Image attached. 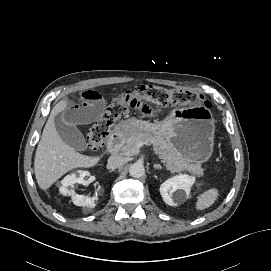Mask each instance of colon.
<instances>
[{
  "instance_id": "colon-1",
  "label": "colon",
  "mask_w": 271,
  "mask_h": 271,
  "mask_svg": "<svg viewBox=\"0 0 271 271\" xmlns=\"http://www.w3.org/2000/svg\"><path fill=\"white\" fill-rule=\"evenodd\" d=\"M140 98L159 105H184L188 103L209 107L208 102L196 93L157 86H139L133 90ZM128 112V104L122 100L112 102L95 121L88 133V148L96 152L105 142L110 128Z\"/></svg>"
}]
</instances>
